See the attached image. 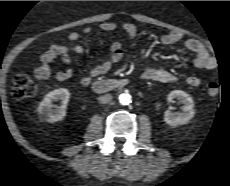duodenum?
Listing matches in <instances>:
<instances>
[{"instance_id":"duodenum-1","label":"duodenum","mask_w":230,"mask_h":186,"mask_svg":"<svg viewBox=\"0 0 230 186\" xmlns=\"http://www.w3.org/2000/svg\"><path fill=\"white\" fill-rule=\"evenodd\" d=\"M130 81L126 78L121 79H103L93 83V90L99 93H104L116 89L126 87Z\"/></svg>"}]
</instances>
